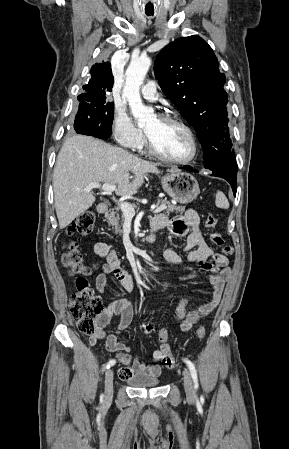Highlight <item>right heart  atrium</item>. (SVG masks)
<instances>
[{"label":"right heart atrium","instance_id":"right-heart-atrium-1","mask_svg":"<svg viewBox=\"0 0 289 449\" xmlns=\"http://www.w3.org/2000/svg\"><path fill=\"white\" fill-rule=\"evenodd\" d=\"M112 128L115 140L120 146L131 150L142 148L144 135L124 110H115Z\"/></svg>","mask_w":289,"mask_h":449}]
</instances>
